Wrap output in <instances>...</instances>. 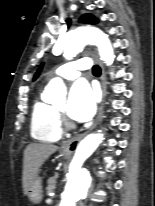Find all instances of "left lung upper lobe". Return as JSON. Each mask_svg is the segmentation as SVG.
<instances>
[{
    "mask_svg": "<svg viewBox=\"0 0 155 206\" xmlns=\"http://www.w3.org/2000/svg\"><path fill=\"white\" fill-rule=\"evenodd\" d=\"M80 22L82 23H89V24H95L97 23V19L91 15V14H85L80 18ZM43 64L39 67V69L37 70L36 74L34 75L33 80H36L37 77L39 76L41 70H42Z\"/></svg>",
    "mask_w": 155,
    "mask_h": 206,
    "instance_id": "5c2ea615",
    "label": "left lung upper lobe"
}]
</instances>
